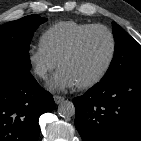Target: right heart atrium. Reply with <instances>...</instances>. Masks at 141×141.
Wrapping results in <instances>:
<instances>
[{
    "label": "right heart atrium",
    "instance_id": "obj_1",
    "mask_svg": "<svg viewBox=\"0 0 141 141\" xmlns=\"http://www.w3.org/2000/svg\"><path fill=\"white\" fill-rule=\"evenodd\" d=\"M27 60L32 73L39 79H45L57 65V61L40 44L29 48Z\"/></svg>",
    "mask_w": 141,
    "mask_h": 141
}]
</instances>
